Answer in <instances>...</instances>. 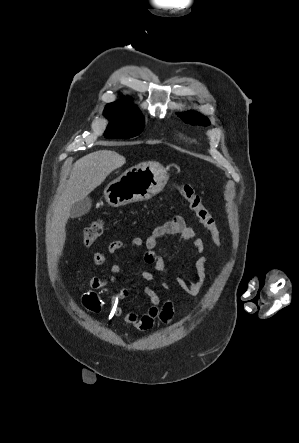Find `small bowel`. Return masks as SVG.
Returning a JSON list of instances; mask_svg holds the SVG:
<instances>
[{
	"mask_svg": "<svg viewBox=\"0 0 299 443\" xmlns=\"http://www.w3.org/2000/svg\"><path fill=\"white\" fill-rule=\"evenodd\" d=\"M178 236L179 239L184 241H191L190 249L192 252L200 253L204 250V242L197 237L195 230L186 225L184 219L181 216H175L171 220L165 222L152 229L149 235L142 239L141 237H134L130 240L131 247L145 246L146 252L144 259L148 264L154 265L156 271L159 274H163L166 270L164 258L157 253L159 246V239L164 236ZM125 243L122 241H113L108 247L110 254H116L125 248ZM93 261L96 265L102 266V278L93 277L90 279L89 284L93 291L88 292L83 297L84 306L92 311L99 312L101 310L100 299L95 292L96 290H105L109 286L113 285L118 275L121 273V267L117 264L108 265L107 255L103 252H97L94 254ZM206 265L207 260L205 257H200L195 262V269L197 272L198 280L195 282L189 281L185 278H176L174 283L181 290L187 293L192 298H196L202 291L206 280ZM141 278L145 282H155V275L148 270L141 272ZM165 288L168 284L163 282ZM145 295L150 301V307L142 315H138L135 312L124 313L121 303L128 297L129 292L127 289L122 288L115 290L111 296V310L113 314L120 317L123 325L126 327H133L140 331H146L151 329L156 321H160L164 324H168L173 320L174 306L170 299L162 301L159 295L149 287L144 289Z\"/></svg>",
	"mask_w": 299,
	"mask_h": 443,
	"instance_id": "1",
	"label": "small bowel"
}]
</instances>
